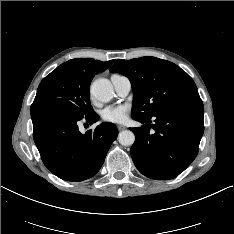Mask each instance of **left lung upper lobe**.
<instances>
[{"instance_id":"obj_1","label":"left lung upper lobe","mask_w":234,"mask_h":234,"mask_svg":"<svg viewBox=\"0 0 234 234\" xmlns=\"http://www.w3.org/2000/svg\"><path fill=\"white\" fill-rule=\"evenodd\" d=\"M109 71L125 75L131 82L132 118H151L170 107L200 98L192 78L176 64L163 59L149 56L120 59Z\"/></svg>"}]
</instances>
